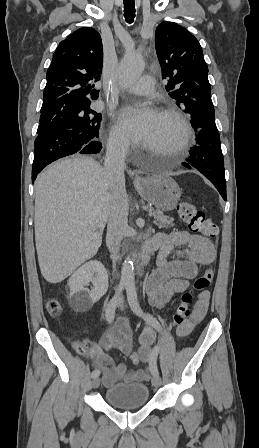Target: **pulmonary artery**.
Wrapping results in <instances>:
<instances>
[{"label":"pulmonary artery","mask_w":259,"mask_h":448,"mask_svg":"<svg viewBox=\"0 0 259 448\" xmlns=\"http://www.w3.org/2000/svg\"><path fill=\"white\" fill-rule=\"evenodd\" d=\"M121 71L131 77L133 81H150L154 80L152 76L141 75L142 65L132 59L130 54L126 55L120 62ZM151 87H134L132 85L125 86L122 91L130 94H148L151 92Z\"/></svg>","instance_id":"pulmonary-artery-1"}]
</instances>
